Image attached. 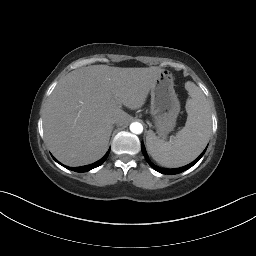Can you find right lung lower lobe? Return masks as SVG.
I'll use <instances>...</instances> for the list:
<instances>
[{
    "label": "right lung lower lobe",
    "instance_id": "obj_1",
    "mask_svg": "<svg viewBox=\"0 0 256 256\" xmlns=\"http://www.w3.org/2000/svg\"><path fill=\"white\" fill-rule=\"evenodd\" d=\"M109 152H110V150L105 154V156L103 158H101L99 161H97V162H95L93 164L86 165V166H81V167H76V168H70V169L73 170V171H76V172H87V171H89V170H91L93 168H96V167L100 166L101 164H103L104 161L107 159V157L109 155ZM54 160L56 162H58L55 158H54Z\"/></svg>",
    "mask_w": 256,
    "mask_h": 256
}]
</instances>
